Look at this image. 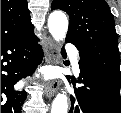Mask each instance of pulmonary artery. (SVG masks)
<instances>
[{
  "mask_svg": "<svg viewBox=\"0 0 121 113\" xmlns=\"http://www.w3.org/2000/svg\"><path fill=\"white\" fill-rule=\"evenodd\" d=\"M70 50V53H71V57H72V69L73 71L76 73V74H79L80 73V66L78 64V59H77V51H76V48L74 46H71L69 48Z\"/></svg>",
  "mask_w": 121,
  "mask_h": 113,
  "instance_id": "1",
  "label": "pulmonary artery"
}]
</instances>
